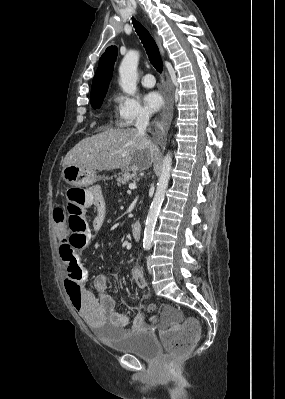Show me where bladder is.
Returning a JSON list of instances; mask_svg holds the SVG:
<instances>
[{"mask_svg": "<svg viewBox=\"0 0 285 399\" xmlns=\"http://www.w3.org/2000/svg\"><path fill=\"white\" fill-rule=\"evenodd\" d=\"M90 327L98 335L106 333L100 324H90ZM104 342L118 352L130 354L144 360H155L159 355V343L155 336L144 330H131L129 334L116 337L111 336Z\"/></svg>", "mask_w": 285, "mask_h": 399, "instance_id": "obj_1", "label": "bladder"}]
</instances>
